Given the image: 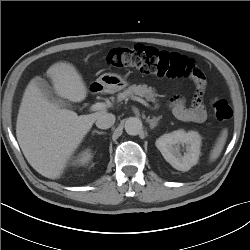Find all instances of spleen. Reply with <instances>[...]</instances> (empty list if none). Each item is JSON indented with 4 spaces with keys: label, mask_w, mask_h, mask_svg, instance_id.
<instances>
[{
    "label": "spleen",
    "mask_w": 250,
    "mask_h": 250,
    "mask_svg": "<svg viewBox=\"0 0 250 250\" xmlns=\"http://www.w3.org/2000/svg\"><path fill=\"white\" fill-rule=\"evenodd\" d=\"M227 136H228V130L223 129L220 136L217 138L213 149L210 152V157H209L210 162L215 161L220 156L224 148V145L226 143Z\"/></svg>",
    "instance_id": "1"
}]
</instances>
